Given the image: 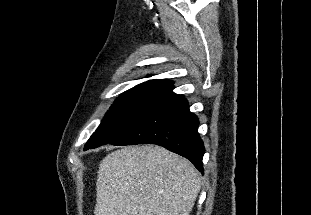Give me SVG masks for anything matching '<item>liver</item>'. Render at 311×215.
Segmentation results:
<instances>
[{
	"label": "liver",
	"instance_id": "1",
	"mask_svg": "<svg viewBox=\"0 0 311 215\" xmlns=\"http://www.w3.org/2000/svg\"><path fill=\"white\" fill-rule=\"evenodd\" d=\"M95 215H189L201 188L186 159L154 145L129 146L100 163Z\"/></svg>",
	"mask_w": 311,
	"mask_h": 215
}]
</instances>
